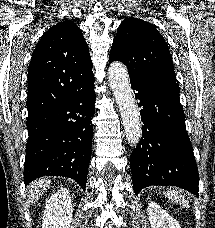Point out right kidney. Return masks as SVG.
Instances as JSON below:
<instances>
[{"label":"right kidney","mask_w":215,"mask_h":228,"mask_svg":"<svg viewBox=\"0 0 215 228\" xmlns=\"http://www.w3.org/2000/svg\"><path fill=\"white\" fill-rule=\"evenodd\" d=\"M73 210L69 190L61 188L46 202L42 228H70Z\"/></svg>","instance_id":"right-kidney-1"}]
</instances>
